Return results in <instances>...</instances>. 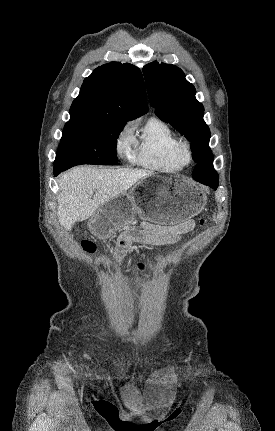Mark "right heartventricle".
<instances>
[{"mask_svg": "<svg viewBox=\"0 0 275 431\" xmlns=\"http://www.w3.org/2000/svg\"><path fill=\"white\" fill-rule=\"evenodd\" d=\"M136 142L134 161L145 168L171 173L185 165L179 150L181 140L160 118L151 117Z\"/></svg>", "mask_w": 275, "mask_h": 431, "instance_id": "1", "label": "right heart ventricle"}]
</instances>
